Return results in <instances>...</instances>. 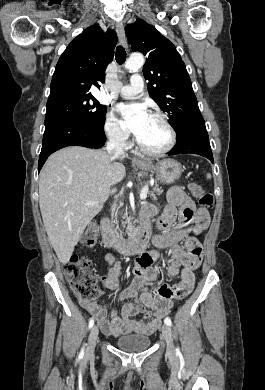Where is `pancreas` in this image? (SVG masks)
Wrapping results in <instances>:
<instances>
[{"mask_svg":"<svg viewBox=\"0 0 265 390\" xmlns=\"http://www.w3.org/2000/svg\"><path fill=\"white\" fill-rule=\"evenodd\" d=\"M161 191H162L161 188H159L158 185L156 184L153 187L152 191H150L149 195H150V197L155 198L156 195H159L161 193ZM116 223H118V222L116 221ZM126 224L129 226L130 220L122 221L123 227H125Z\"/></svg>","mask_w":265,"mask_h":390,"instance_id":"cf45deb5","label":"pancreas"}]
</instances>
